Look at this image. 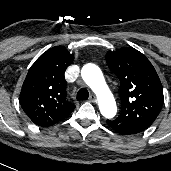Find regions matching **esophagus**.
I'll return each mask as SVG.
<instances>
[{
    "label": "esophagus",
    "instance_id": "esophagus-1",
    "mask_svg": "<svg viewBox=\"0 0 171 171\" xmlns=\"http://www.w3.org/2000/svg\"><path fill=\"white\" fill-rule=\"evenodd\" d=\"M89 101L92 102V103H96V97L93 94H91L89 96Z\"/></svg>",
    "mask_w": 171,
    "mask_h": 171
}]
</instances>
